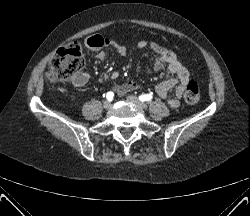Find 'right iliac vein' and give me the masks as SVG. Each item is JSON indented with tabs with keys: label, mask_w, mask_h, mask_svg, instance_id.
Segmentation results:
<instances>
[{
	"label": "right iliac vein",
	"mask_w": 250,
	"mask_h": 216,
	"mask_svg": "<svg viewBox=\"0 0 250 216\" xmlns=\"http://www.w3.org/2000/svg\"><path fill=\"white\" fill-rule=\"evenodd\" d=\"M110 106H111V102H110L109 100L104 101L103 107H104L105 109L110 108Z\"/></svg>",
	"instance_id": "63e3f726"
}]
</instances>
